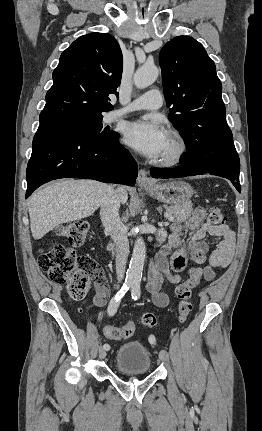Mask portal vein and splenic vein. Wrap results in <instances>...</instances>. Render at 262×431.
Wrapping results in <instances>:
<instances>
[{"mask_svg": "<svg viewBox=\"0 0 262 431\" xmlns=\"http://www.w3.org/2000/svg\"><path fill=\"white\" fill-rule=\"evenodd\" d=\"M167 219H168L169 222H171V221L174 220V216H167Z\"/></svg>", "mask_w": 262, "mask_h": 431, "instance_id": "1", "label": "portal vein and splenic vein"}]
</instances>
